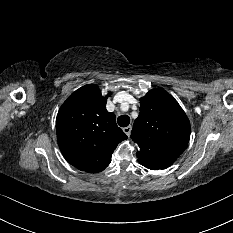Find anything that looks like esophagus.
Listing matches in <instances>:
<instances>
[{
	"label": "esophagus",
	"instance_id": "34e87169",
	"mask_svg": "<svg viewBox=\"0 0 233 233\" xmlns=\"http://www.w3.org/2000/svg\"><path fill=\"white\" fill-rule=\"evenodd\" d=\"M131 129L132 127L131 126H127L125 128H123V131L125 132V134L129 137L130 134H131Z\"/></svg>",
	"mask_w": 233,
	"mask_h": 233
}]
</instances>
